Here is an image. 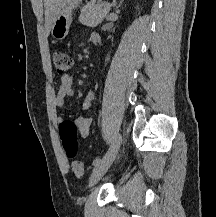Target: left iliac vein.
<instances>
[{
    "mask_svg": "<svg viewBox=\"0 0 216 217\" xmlns=\"http://www.w3.org/2000/svg\"><path fill=\"white\" fill-rule=\"evenodd\" d=\"M121 142H122V137L120 135L116 136L115 140L113 141L109 151L105 155L102 162L93 169L89 179L90 187L94 186L107 172L108 168L111 166L118 153Z\"/></svg>",
    "mask_w": 216,
    "mask_h": 217,
    "instance_id": "obj_1",
    "label": "left iliac vein"
}]
</instances>
